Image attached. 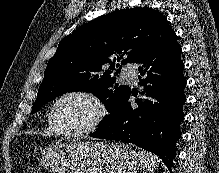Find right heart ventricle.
Here are the masks:
<instances>
[{"label":"right heart ventricle","instance_id":"1","mask_svg":"<svg viewBox=\"0 0 219 173\" xmlns=\"http://www.w3.org/2000/svg\"><path fill=\"white\" fill-rule=\"evenodd\" d=\"M46 133L51 135V136H56L57 135L55 133V131L52 129V127L50 126L49 122H48L47 127H46Z\"/></svg>","mask_w":219,"mask_h":173}]
</instances>
